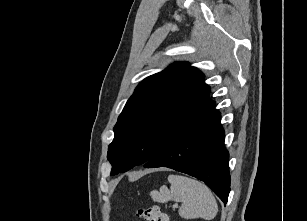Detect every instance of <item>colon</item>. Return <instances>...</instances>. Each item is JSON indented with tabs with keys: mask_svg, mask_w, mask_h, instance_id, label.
<instances>
[{
	"mask_svg": "<svg viewBox=\"0 0 307 221\" xmlns=\"http://www.w3.org/2000/svg\"><path fill=\"white\" fill-rule=\"evenodd\" d=\"M137 215L145 221H169L167 214L158 205L142 207Z\"/></svg>",
	"mask_w": 307,
	"mask_h": 221,
	"instance_id": "1",
	"label": "colon"
}]
</instances>
